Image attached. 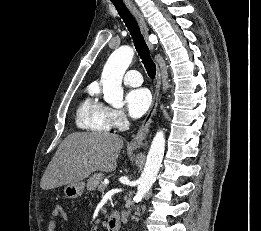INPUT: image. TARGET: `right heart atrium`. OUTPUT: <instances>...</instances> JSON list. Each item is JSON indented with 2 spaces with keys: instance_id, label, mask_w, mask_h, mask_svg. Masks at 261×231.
<instances>
[{
  "instance_id": "obj_1",
  "label": "right heart atrium",
  "mask_w": 261,
  "mask_h": 231,
  "mask_svg": "<svg viewBox=\"0 0 261 231\" xmlns=\"http://www.w3.org/2000/svg\"><path fill=\"white\" fill-rule=\"evenodd\" d=\"M109 117L111 126L116 129L125 127L128 121L126 114L120 109L109 108Z\"/></svg>"
}]
</instances>
